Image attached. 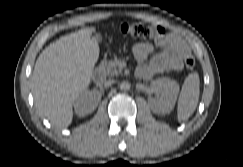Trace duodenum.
<instances>
[{"label":"duodenum","instance_id":"duodenum-1","mask_svg":"<svg viewBox=\"0 0 243 167\" xmlns=\"http://www.w3.org/2000/svg\"><path fill=\"white\" fill-rule=\"evenodd\" d=\"M92 79L96 83H102L104 80V73L101 67H96L92 72Z\"/></svg>","mask_w":243,"mask_h":167}]
</instances>
